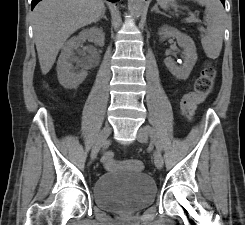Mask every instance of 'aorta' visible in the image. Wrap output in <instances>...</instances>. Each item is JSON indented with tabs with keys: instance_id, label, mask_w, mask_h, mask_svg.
Segmentation results:
<instances>
[{
	"instance_id": "obj_1",
	"label": "aorta",
	"mask_w": 245,
	"mask_h": 225,
	"mask_svg": "<svg viewBox=\"0 0 245 225\" xmlns=\"http://www.w3.org/2000/svg\"><path fill=\"white\" fill-rule=\"evenodd\" d=\"M145 0H128V10L134 17H140Z\"/></svg>"
}]
</instances>
